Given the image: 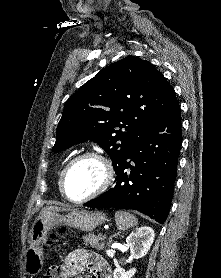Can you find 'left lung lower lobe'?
Returning <instances> with one entry per match:
<instances>
[{
    "label": "left lung lower lobe",
    "instance_id": "obj_1",
    "mask_svg": "<svg viewBox=\"0 0 221 278\" xmlns=\"http://www.w3.org/2000/svg\"><path fill=\"white\" fill-rule=\"evenodd\" d=\"M181 144V113L176 101L128 147L114 168L115 186L84 206L134 209L160 223L165 222L173 197Z\"/></svg>",
    "mask_w": 221,
    "mask_h": 278
}]
</instances>
